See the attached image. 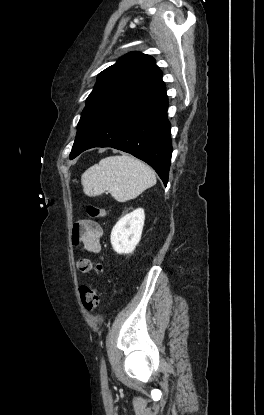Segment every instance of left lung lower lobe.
<instances>
[{
	"label": "left lung lower lobe",
	"instance_id": "obj_1",
	"mask_svg": "<svg viewBox=\"0 0 264 415\" xmlns=\"http://www.w3.org/2000/svg\"><path fill=\"white\" fill-rule=\"evenodd\" d=\"M167 107L162 80L123 99L100 117L73 158L93 147L122 150L148 163L166 186L172 154Z\"/></svg>",
	"mask_w": 264,
	"mask_h": 415
}]
</instances>
